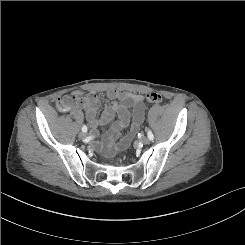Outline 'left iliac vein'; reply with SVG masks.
<instances>
[{
  "label": "left iliac vein",
  "instance_id": "left-iliac-vein-1",
  "mask_svg": "<svg viewBox=\"0 0 245 245\" xmlns=\"http://www.w3.org/2000/svg\"><path fill=\"white\" fill-rule=\"evenodd\" d=\"M141 142L146 145L150 143V139L148 137H142Z\"/></svg>",
  "mask_w": 245,
  "mask_h": 245
}]
</instances>
